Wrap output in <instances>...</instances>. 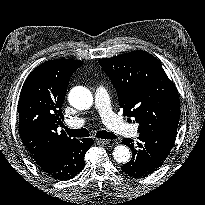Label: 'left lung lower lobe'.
<instances>
[{
  "label": "left lung lower lobe",
  "instance_id": "0a47b994",
  "mask_svg": "<svg viewBox=\"0 0 205 205\" xmlns=\"http://www.w3.org/2000/svg\"><path fill=\"white\" fill-rule=\"evenodd\" d=\"M177 127H166L141 132L136 145L130 138L123 144L132 150V159L121 169L133 177H144L156 171L167 158L174 145Z\"/></svg>",
  "mask_w": 205,
  "mask_h": 205
}]
</instances>
